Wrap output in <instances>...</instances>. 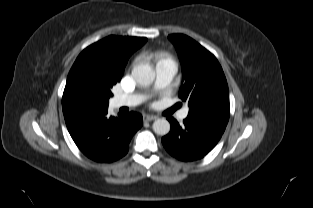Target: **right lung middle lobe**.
Masks as SVG:
<instances>
[{"instance_id": "obj_1", "label": "right lung middle lobe", "mask_w": 313, "mask_h": 208, "mask_svg": "<svg viewBox=\"0 0 313 208\" xmlns=\"http://www.w3.org/2000/svg\"><path fill=\"white\" fill-rule=\"evenodd\" d=\"M115 82H100L98 84L84 86L82 88V97L89 105L108 106L112 86Z\"/></svg>"}]
</instances>
